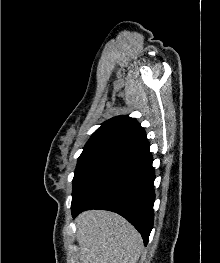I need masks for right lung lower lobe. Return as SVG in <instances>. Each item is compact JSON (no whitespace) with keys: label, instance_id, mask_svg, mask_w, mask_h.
Wrapping results in <instances>:
<instances>
[{"label":"right lung lower lobe","instance_id":"1","mask_svg":"<svg viewBox=\"0 0 220 263\" xmlns=\"http://www.w3.org/2000/svg\"><path fill=\"white\" fill-rule=\"evenodd\" d=\"M152 162L147 140L117 153L72 203V216L93 208L116 212L140 232L147 245L154 218Z\"/></svg>","mask_w":220,"mask_h":263}]
</instances>
